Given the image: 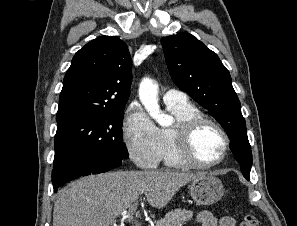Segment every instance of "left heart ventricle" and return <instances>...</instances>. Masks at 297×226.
Returning a JSON list of instances; mask_svg holds the SVG:
<instances>
[{
  "label": "left heart ventricle",
  "instance_id": "1",
  "mask_svg": "<svg viewBox=\"0 0 297 226\" xmlns=\"http://www.w3.org/2000/svg\"><path fill=\"white\" fill-rule=\"evenodd\" d=\"M223 145L222 135L211 125L202 126L193 138V152L202 162L216 160L222 152Z\"/></svg>",
  "mask_w": 297,
  "mask_h": 226
}]
</instances>
